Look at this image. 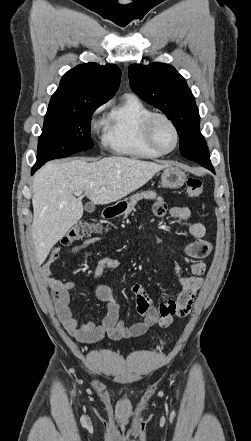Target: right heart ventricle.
Returning a JSON list of instances; mask_svg holds the SVG:
<instances>
[{
	"label": "right heart ventricle",
	"mask_w": 251,
	"mask_h": 441,
	"mask_svg": "<svg viewBox=\"0 0 251 441\" xmlns=\"http://www.w3.org/2000/svg\"><path fill=\"white\" fill-rule=\"evenodd\" d=\"M152 113L139 97L124 95L104 122L103 143L119 155L159 158L161 155L148 146L144 137V123Z\"/></svg>",
	"instance_id": "obj_1"
}]
</instances>
